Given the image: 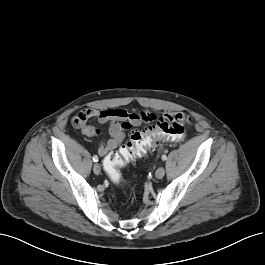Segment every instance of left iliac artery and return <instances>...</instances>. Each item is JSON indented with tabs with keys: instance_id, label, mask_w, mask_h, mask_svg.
Segmentation results:
<instances>
[{
	"instance_id": "obj_1",
	"label": "left iliac artery",
	"mask_w": 265,
	"mask_h": 265,
	"mask_svg": "<svg viewBox=\"0 0 265 265\" xmlns=\"http://www.w3.org/2000/svg\"><path fill=\"white\" fill-rule=\"evenodd\" d=\"M166 159H167L166 155H163V156H162V160L165 161Z\"/></svg>"
}]
</instances>
